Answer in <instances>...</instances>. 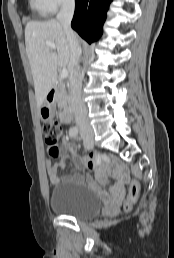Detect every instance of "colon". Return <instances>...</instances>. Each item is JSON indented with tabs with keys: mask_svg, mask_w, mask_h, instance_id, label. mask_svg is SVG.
Segmentation results:
<instances>
[{
	"mask_svg": "<svg viewBox=\"0 0 174 258\" xmlns=\"http://www.w3.org/2000/svg\"><path fill=\"white\" fill-rule=\"evenodd\" d=\"M63 125L58 121H47L43 125V134L45 142L50 146V155L56 157L58 155L57 144L63 134ZM140 186L138 181L133 180L129 187L128 197L122 203V210L129 211L135 203Z\"/></svg>",
	"mask_w": 174,
	"mask_h": 258,
	"instance_id": "colon-1",
	"label": "colon"
}]
</instances>
